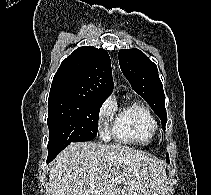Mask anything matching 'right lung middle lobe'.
<instances>
[{
  "instance_id": "right-lung-middle-lobe-1",
  "label": "right lung middle lobe",
  "mask_w": 211,
  "mask_h": 195,
  "mask_svg": "<svg viewBox=\"0 0 211 195\" xmlns=\"http://www.w3.org/2000/svg\"><path fill=\"white\" fill-rule=\"evenodd\" d=\"M103 102L71 96H49L48 153L72 142L94 139Z\"/></svg>"
}]
</instances>
